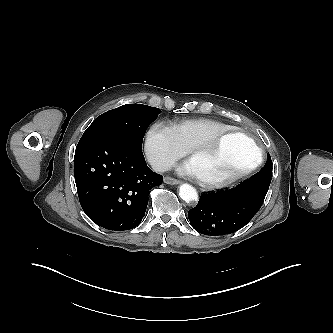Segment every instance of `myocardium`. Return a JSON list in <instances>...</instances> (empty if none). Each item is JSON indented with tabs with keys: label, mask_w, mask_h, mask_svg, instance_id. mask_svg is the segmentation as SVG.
I'll return each instance as SVG.
<instances>
[{
	"label": "myocardium",
	"mask_w": 333,
	"mask_h": 333,
	"mask_svg": "<svg viewBox=\"0 0 333 333\" xmlns=\"http://www.w3.org/2000/svg\"><path fill=\"white\" fill-rule=\"evenodd\" d=\"M233 134L243 135L252 142V144L254 145L256 152H257L255 160L247 167H245L227 177H224V178L207 179V178H204L201 176H197V180L202 186L209 188V189L226 187V186L238 181L239 179L247 176L260 165L262 158H263V149H262L260 143L244 129L235 128V127L222 131V132H219V133L211 136L210 138L193 145L188 150L189 158L191 159L192 157H194L198 154L207 153V152L212 151L221 142L222 139H224L225 137H227L229 135H233Z\"/></svg>",
	"instance_id": "1"
}]
</instances>
